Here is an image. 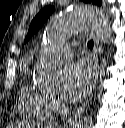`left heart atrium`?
Listing matches in <instances>:
<instances>
[{"label": "left heart atrium", "instance_id": "obj_1", "mask_svg": "<svg viewBox=\"0 0 125 128\" xmlns=\"http://www.w3.org/2000/svg\"><path fill=\"white\" fill-rule=\"evenodd\" d=\"M93 81L94 73L88 63L68 64L61 71L60 95L68 102H78L89 93Z\"/></svg>", "mask_w": 125, "mask_h": 128}]
</instances>
